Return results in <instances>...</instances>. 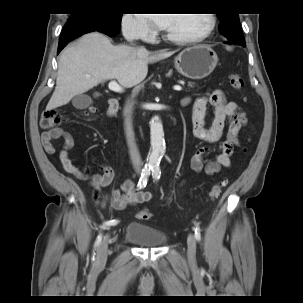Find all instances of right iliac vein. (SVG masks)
Masks as SVG:
<instances>
[{
  "label": "right iliac vein",
  "instance_id": "1",
  "mask_svg": "<svg viewBox=\"0 0 303 303\" xmlns=\"http://www.w3.org/2000/svg\"><path fill=\"white\" fill-rule=\"evenodd\" d=\"M108 244H109V237H106L98 246L97 249V258L96 263L97 265L105 264L108 256Z\"/></svg>",
  "mask_w": 303,
  "mask_h": 303
}]
</instances>
